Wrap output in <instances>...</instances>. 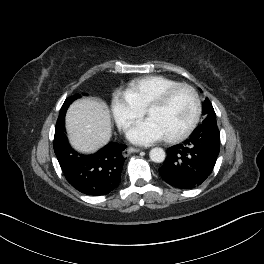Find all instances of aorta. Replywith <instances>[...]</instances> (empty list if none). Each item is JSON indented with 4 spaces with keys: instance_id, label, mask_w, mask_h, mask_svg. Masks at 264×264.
Listing matches in <instances>:
<instances>
[{
    "instance_id": "aorta-1",
    "label": "aorta",
    "mask_w": 264,
    "mask_h": 264,
    "mask_svg": "<svg viewBox=\"0 0 264 264\" xmlns=\"http://www.w3.org/2000/svg\"><path fill=\"white\" fill-rule=\"evenodd\" d=\"M149 157L153 162L161 163L165 160L166 154L162 148L155 147V148L150 150Z\"/></svg>"
}]
</instances>
